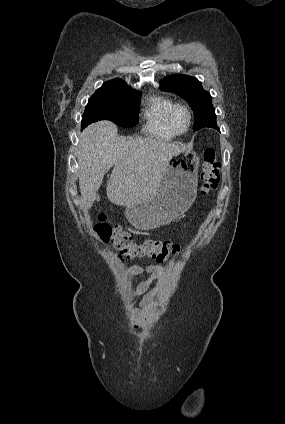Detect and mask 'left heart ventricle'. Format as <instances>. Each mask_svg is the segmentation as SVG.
Listing matches in <instances>:
<instances>
[{
  "label": "left heart ventricle",
  "instance_id": "1",
  "mask_svg": "<svg viewBox=\"0 0 285 424\" xmlns=\"http://www.w3.org/2000/svg\"><path fill=\"white\" fill-rule=\"evenodd\" d=\"M174 124L176 128L180 131H184L187 128L188 116L184 110L179 109L176 111L174 115Z\"/></svg>",
  "mask_w": 285,
  "mask_h": 424
}]
</instances>
